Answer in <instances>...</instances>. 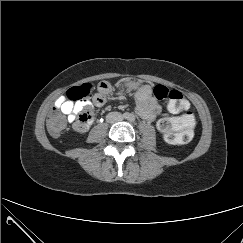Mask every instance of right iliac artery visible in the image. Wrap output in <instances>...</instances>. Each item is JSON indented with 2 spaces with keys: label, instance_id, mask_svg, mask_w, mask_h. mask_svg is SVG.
<instances>
[{
  "label": "right iliac artery",
  "instance_id": "obj_1",
  "mask_svg": "<svg viewBox=\"0 0 243 243\" xmlns=\"http://www.w3.org/2000/svg\"><path fill=\"white\" fill-rule=\"evenodd\" d=\"M123 117H124V118H128V117H129L128 113H124V114H123Z\"/></svg>",
  "mask_w": 243,
  "mask_h": 243
}]
</instances>
